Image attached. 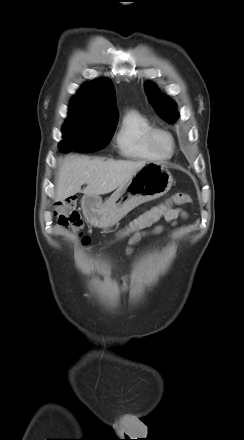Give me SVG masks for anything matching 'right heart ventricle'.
<instances>
[{
	"mask_svg": "<svg viewBox=\"0 0 244 440\" xmlns=\"http://www.w3.org/2000/svg\"><path fill=\"white\" fill-rule=\"evenodd\" d=\"M152 126L145 116L136 110L127 111L121 118L115 135L119 153L125 157L158 160L162 156L152 151L146 143V133Z\"/></svg>",
	"mask_w": 244,
	"mask_h": 440,
	"instance_id": "1",
	"label": "right heart ventricle"
}]
</instances>
